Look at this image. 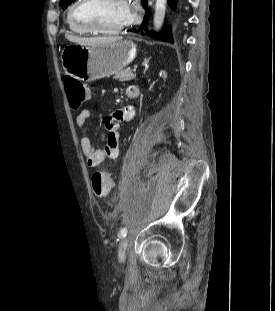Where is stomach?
<instances>
[{
	"mask_svg": "<svg viewBox=\"0 0 275 311\" xmlns=\"http://www.w3.org/2000/svg\"><path fill=\"white\" fill-rule=\"evenodd\" d=\"M136 45L131 40L108 44H68L61 53L65 73L82 81H95L120 72L136 57Z\"/></svg>",
	"mask_w": 275,
	"mask_h": 311,
	"instance_id": "stomach-1",
	"label": "stomach"
}]
</instances>
